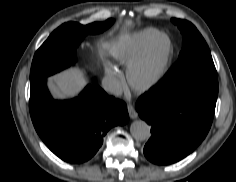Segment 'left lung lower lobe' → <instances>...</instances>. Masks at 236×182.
I'll return each instance as SVG.
<instances>
[{"label":"left lung lower lobe","mask_w":236,"mask_h":182,"mask_svg":"<svg viewBox=\"0 0 236 182\" xmlns=\"http://www.w3.org/2000/svg\"><path fill=\"white\" fill-rule=\"evenodd\" d=\"M216 100L217 95L198 91L165 93L159 87L141 96L136 110L152 133L144 147L146 158L168 165L194 151L211 127Z\"/></svg>","instance_id":"0a47b994"}]
</instances>
